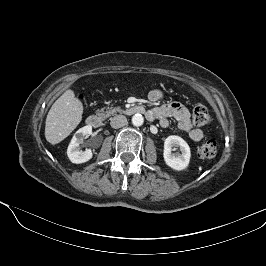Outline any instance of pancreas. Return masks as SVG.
I'll return each mask as SVG.
<instances>
[{"label":"pancreas","instance_id":"1","mask_svg":"<svg viewBox=\"0 0 266 266\" xmlns=\"http://www.w3.org/2000/svg\"><path fill=\"white\" fill-rule=\"evenodd\" d=\"M123 110L120 107H108L106 110L101 109L97 110V114L102 116V117H109L110 115H114L117 112H122Z\"/></svg>","mask_w":266,"mask_h":266}]
</instances>
